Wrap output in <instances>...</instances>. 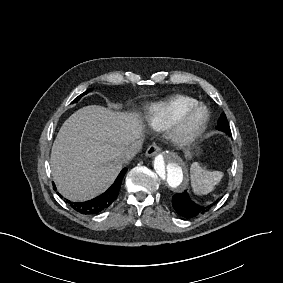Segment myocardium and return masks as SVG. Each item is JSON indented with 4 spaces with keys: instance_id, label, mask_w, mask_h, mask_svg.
Listing matches in <instances>:
<instances>
[{
    "instance_id": "obj_1",
    "label": "myocardium",
    "mask_w": 283,
    "mask_h": 283,
    "mask_svg": "<svg viewBox=\"0 0 283 283\" xmlns=\"http://www.w3.org/2000/svg\"><path fill=\"white\" fill-rule=\"evenodd\" d=\"M210 118L206 105L195 103L182 106L171 101L164 105L162 133L177 149H184L202 136Z\"/></svg>"
}]
</instances>
